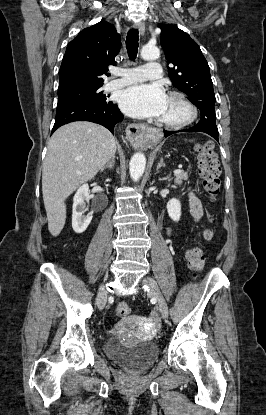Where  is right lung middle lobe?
Instances as JSON below:
<instances>
[{
	"mask_svg": "<svg viewBox=\"0 0 266 415\" xmlns=\"http://www.w3.org/2000/svg\"><path fill=\"white\" fill-rule=\"evenodd\" d=\"M101 86L89 87L58 93V103L62 102H91L107 104V96L101 91Z\"/></svg>",
	"mask_w": 266,
	"mask_h": 415,
	"instance_id": "obj_1",
	"label": "right lung middle lobe"
}]
</instances>
